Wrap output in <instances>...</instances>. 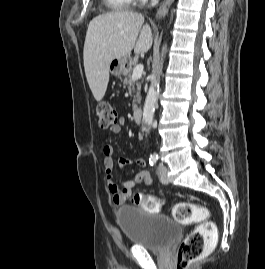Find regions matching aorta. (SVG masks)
<instances>
[{"instance_id":"762f6f07","label":"aorta","mask_w":265,"mask_h":269,"mask_svg":"<svg viewBox=\"0 0 265 269\" xmlns=\"http://www.w3.org/2000/svg\"><path fill=\"white\" fill-rule=\"evenodd\" d=\"M164 51H166V47H163L161 62L159 65V74L162 71ZM158 89H159V76L153 74L151 78V85L149 87L143 107L142 121L146 127H150L153 122L155 106L157 104V98H158Z\"/></svg>"}]
</instances>
